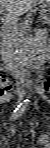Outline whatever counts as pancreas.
<instances>
[{
  "label": "pancreas",
  "mask_w": 50,
  "mask_h": 148,
  "mask_svg": "<svg viewBox=\"0 0 50 148\" xmlns=\"http://www.w3.org/2000/svg\"><path fill=\"white\" fill-rule=\"evenodd\" d=\"M26 35V26L25 24L20 25H8L3 29V53L2 60L6 64V68L17 69L16 63L18 62L16 59V53L20 52L24 54L27 48L33 46V44H29V41H37V44H42V39L44 38V32L42 30H38L35 32L33 36V40L31 38L25 36Z\"/></svg>",
  "instance_id": "1"
}]
</instances>
